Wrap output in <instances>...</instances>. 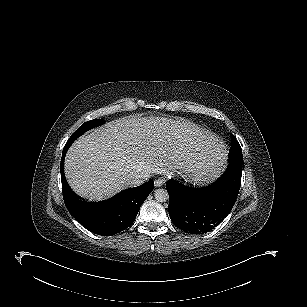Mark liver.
Wrapping results in <instances>:
<instances>
[{
    "label": "liver",
    "instance_id": "6515ba94",
    "mask_svg": "<svg viewBox=\"0 0 307 307\" xmlns=\"http://www.w3.org/2000/svg\"><path fill=\"white\" fill-rule=\"evenodd\" d=\"M211 137L187 123L128 116L110 121L76 140L65 158L71 188L89 200H103L129 187L141 174L182 169L198 176L220 172Z\"/></svg>",
    "mask_w": 307,
    "mask_h": 307
}]
</instances>
